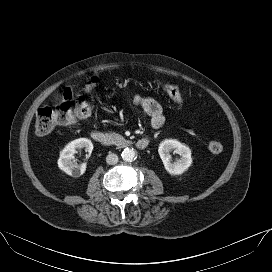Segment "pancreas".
<instances>
[{"label":"pancreas","instance_id":"obj_1","mask_svg":"<svg viewBox=\"0 0 272 272\" xmlns=\"http://www.w3.org/2000/svg\"><path fill=\"white\" fill-rule=\"evenodd\" d=\"M109 138L111 143L118 147H121L128 143V141L123 136L115 132L109 133Z\"/></svg>","mask_w":272,"mask_h":272}]
</instances>
